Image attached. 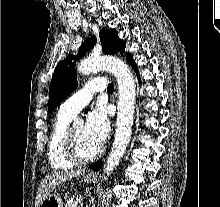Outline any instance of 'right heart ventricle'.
<instances>
[{"mask_svg":"<svg viewBox=\"0 0 220 207\" xmlns=\"http://www.w3.org/2000/svg\"><path fill=\"white\" fill-rule=\"evenodd\" d=\"M72 118L59 112L54 121L48 142V160L54 169H69L74 166V163L65 156L62 146L64 133Z\"/></svg>","mask_w":220,"mask_h":207,"instance_id":"right-heart-ventricle-1","label":"right heart ventricle"}]
</instances>
